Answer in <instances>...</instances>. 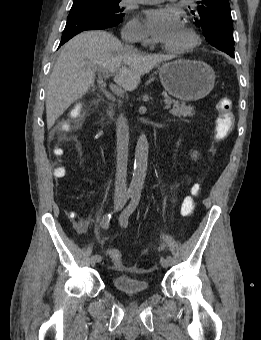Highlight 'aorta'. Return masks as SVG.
I'll return each mask as SVG.
<instances>
[{
    "label": "aorta",
    "mask_w": 261,
    "mask_h": 340,
    "mask_svg": "<svg viewBox=\"0 0 261 340\" xmlns=\"http://www.w3.org/2000/svg\"><path fill=\"white\" fill-rule=\"evenodd\" d=\"M148 149L147 137L142 133L137 140L135 149L133 176L128 189L131 195L139 196L141 194L147 171Z\"/></svg>",
    "instance_id": "obj_1"
}]
</instances>
